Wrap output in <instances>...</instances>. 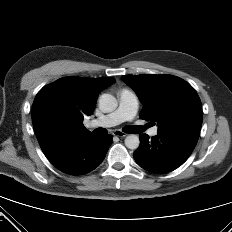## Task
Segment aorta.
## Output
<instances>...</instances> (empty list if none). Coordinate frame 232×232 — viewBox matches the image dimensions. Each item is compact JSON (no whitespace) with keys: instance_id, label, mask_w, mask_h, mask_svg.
<instances>
[{"instance_id":"1","label":"aorta","mask_w":232,"mask_h":232,"mask_svg":"<svg viewBox=\"0 0 232 232\" xmlns=\"http://www.w3.org/2000/svg\"><path fill=\"white\" fill-rule=\"evenodd\" d=\"M118 106L117 99L111 94H102L99 98V108L105 113L114 111ZM125 145L131 150H135L140 145L139 137L135 134L128 135L125 138Z\"/></svg>"}]
</instances>
